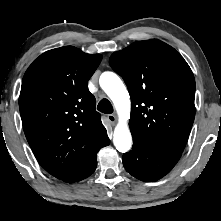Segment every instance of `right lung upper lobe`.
<instances>
[{
  "label": "right lung upper lobe",
  "mask_w": 221,
  "mask_h": 221,
  "mask_svg": "<svg viewBox=\"0 0 221 221\" xmlns=\"http://www.w3.org/2000/svg\"><path fill=\"white\" fill-rule=\"evenodd\" d=\"M102 60L73 46L49 50L27 69L19 108L38 162L62 179L73 173L108 136L88 81Z\"/></svg>",
  "instance_id": "cb5924a9"
}]
</instances>
